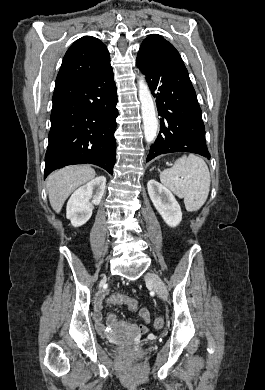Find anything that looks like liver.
I'll use <instances>...</instances> for the list:
<instances>
[{
    "label": "liver",
    "instance_id": "obj_1",
    "mask_svg": "<svg viewBox=\"0 0 265 390\" xmlns=\"http://www.w3.org/2000/svg\"><path fill=\"white\" fill-rule=\"evenodd\" d=\"M95 177V170L88 165H74L59 169L47 178L49 201L59 213L65 200L81 185Z\"/></svg>",
    "mask_w": 265,
    "mask_h": 390
}]
</instances>
